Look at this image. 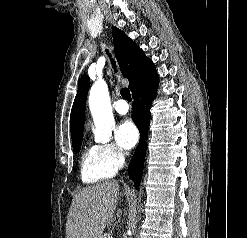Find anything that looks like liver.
I'll use <instances>...</instances> for the list:
<instances>
[{
    "label": "liver",
    "mask_w": 247,
    "mask_h": 238,
    "mask_svg": "<svg viewBox=\"0 0 247 238\" xmlns=\"http://www.w3.org/2000/svg\"><path fill=\"white\" fill-rule=\"evenodd\" d=\"M119 184L106 181L84 188L75 195L66 224V238H101L113 218Z\"/></svg>",
    "instance_id": "liver-1"
}]
</instances>
